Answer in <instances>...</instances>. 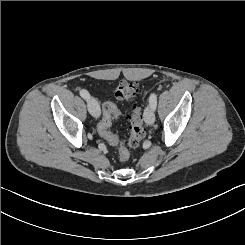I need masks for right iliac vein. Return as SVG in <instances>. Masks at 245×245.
I'll return each instance as SVG.
<instances>
[{"label":"right iliac vein","instance_id":"right-iliac-vein-1","mask_svg":"<svg viewBox=\"0 0 245 245\" xmlns=\"http://www.w3.org/2000/svg\"><path fill=\"white\" fill-rule=\"evenodd\" d=\"M87 107L92 116H94L95 118H98L100 116V107L95 98L90 97L87 100Z\"/></svg>","mask_w":245,"mask_h":245}]
</instances>
